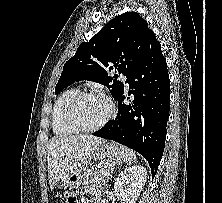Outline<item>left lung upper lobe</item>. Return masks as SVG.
I'll list each match as a JSON object with an SVG mask.
<instances>
[{"instance_id":"1","label":"left lung upper lobe","mask_w":222,"mask_h":203,"mask_svg":"<svg viewBox=\"0 0 222 203\" xmlns=\"http://www.w3.org/2000/svg\"><path fill=\"white\" fill-rule=\"evenodd\" d=\"M152 30L136 12H126L109 21L88 42L78 47L75 55L63 67L55 94L80 80L94 81L108 87L117 99L124 90L123 83L108 72L130 74L142 57Z\"/></svg>"}]
</instances>
